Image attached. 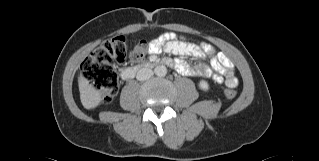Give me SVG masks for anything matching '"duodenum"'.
I'll return each mask as SVG.
<instances>
[{"label": "duodenum", "instance_id": "1", "mask_svg": "<svg viewBox=\"0 0 319 161\" xmlns=\"http://www.w3.org/2000/svg\"><path fill=\"white\" fill-rule=\"evenodd\" d=\"M168 64H171L169 61ZM156 65L155 61H147L145 63L132 66V67H125L121 70V77L124 80H129L132 77H134L138 72L145 70V69H151Z\"/></svg>", "mask_w": 319, "mask_h": 161}]
</instances>
